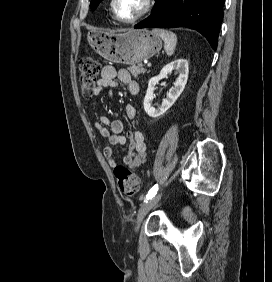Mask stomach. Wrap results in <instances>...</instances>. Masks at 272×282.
<instances>
[{
	"label": "stomach",
	"instance_id": "1",
	"mask_svg": "<svg viewBox=\"0 0 272 282\" xmlns=\"http://www.w3.org/2000/svg\"><path fill=\"white\" fill-rule=\"evenodd\" d=\"M87 41L106 60L127 65L149 59L162 48L160 37L147 29H129L122 33L91 31Z\"/></svg>",
	"mask_w": 272,
	"mask_h": 282
}]
</instances>
